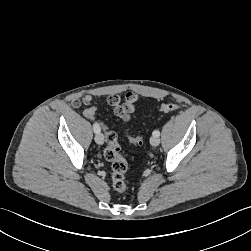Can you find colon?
Masks as SVG:
<instances>
[{
    "label": "colon",
    "mask_w": 251,
    "mask_h": 251,
    "mask_svg": "<svg viewBox=\"0 0 251 251\" xmlns=\"http://www.w3.org/2000/svg\"><path fill=\"white\" fill-rule=\"evenodd\" d=\"M179 108L176 103H164L160 106V111L171 112ZM81 116L84 119H89L92 124L98 121L96 115V109L93 106H89L82 113ZM100 129L105 130L106 148L104 150V157L111 163V179L112 187L117 193H124L127 190V184L125 182V173L128 168L127 160L121 155V148L118 143L117 135L113 131L107 130L106 123L100 120L97 123ZM127 138L130 143L141 145L144 142V137L141 135L127 134Z\"/></svg>",
    "instance_id": "5ec220e1"
}]
</instances>
